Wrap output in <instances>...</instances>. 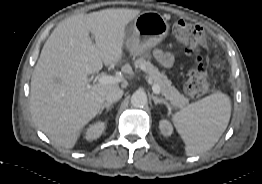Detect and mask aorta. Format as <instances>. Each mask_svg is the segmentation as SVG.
I'll return each instance as SVG.
<instances>
[{
  "instance_id": "aorta-1",
  "label": "aorta",
  "mask_w": 262,
  "mask_h": 184,
  "mask_svg": "<svg viewBox=\"0 0 262 184\" xmlns=\"http://www.w3.org/2000/svg\"><path fill=\"white\" fill-rule=\"evenodd\" d=\"M131 104L135 108H143L147 104V95L143 91H136L131 96Z\"/></svg>"
}]
</instances>
